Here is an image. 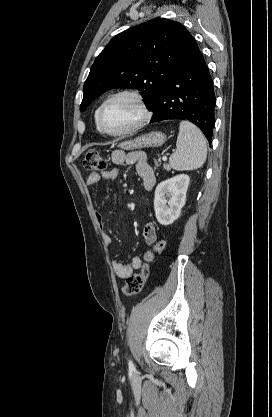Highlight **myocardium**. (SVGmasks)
<instances>
[{"mask_svg": "<svg viewBox=\"0 0 272 417\" xmlns=\"http://www.w3.org/2000/svg\"><path fill=\"white\" fill-rule=\"evenodd\" d=\"M120 97H130L132 98L137 105L140 108V112H141V116L139 118V120L137 122H135L133 125H131L130 127L122 130V131H118V132H109L107 131L102 123V116H103V112L105 110V108L107 107V105L109 103H111L112 101H114L117 98ZM151 110L145 100V98L143 97V95L137 91V90H131V89H125V90H120L112 95H110L99 107L98 112H97V117H96V123H97V127L99 129V131L106 135V136H110V137H121V136H126L129 135L131 133H134L136 131H138L139 129H141L151 118Z\"/></svg>", "mask_w": 272, "mask_h": 417, "instance_id": "1", "label": "myocardium"}]
</instances>
